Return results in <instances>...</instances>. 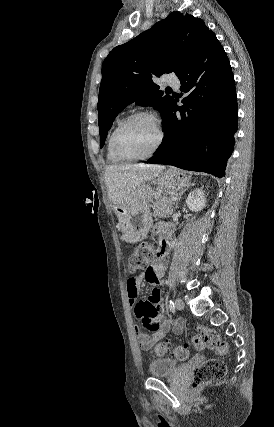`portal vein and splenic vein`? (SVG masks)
Wrapping results in <instances>:
<instances>
[{
  "instance_id": "18ae733b",
  "label": "portal vein and splenic vein",
  "mask_w": 274,
  "mask_h": 427,
  "mask_svg": "<svg viewBox=\"0 0 274 427\" xmlns=\"http://www.w3.org/2000/svg\"><path fill=\"white\" fill-rule=\"evenodd\" d=\"M173 202H175V200H177V198H172Z\"/></svg>"
}]
</instances>
